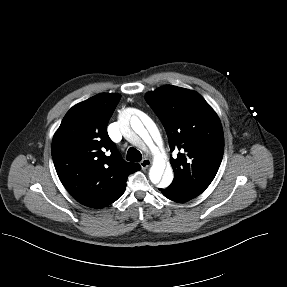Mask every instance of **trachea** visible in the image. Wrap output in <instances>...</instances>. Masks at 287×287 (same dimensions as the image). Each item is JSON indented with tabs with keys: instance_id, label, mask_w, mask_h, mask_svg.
<instances>
[{
	"instance_id": "obj_1",
	"label": "trachea",
	"mask_w": 287,
	"mask_h": 287,
	"mask_svg": "<svg viewBox=\"0 0 287 287\" xmlns=\"http://www.w3.org/2000/svg\"><path fill=\"white\" fill-rule=\"evenodd\" d=\"M142 159V154L136 148H129L127 152V160L130 162H139Z\"/></svg>"
}]
</instances>
